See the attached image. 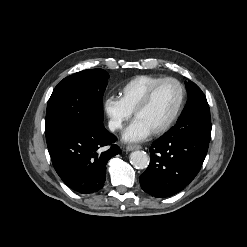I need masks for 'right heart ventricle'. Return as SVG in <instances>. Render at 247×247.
Listing matches in <instances>:
<instances>
[{
	"instance_id": "e07e8e85",
	"label": "right heart ventricle",
	"mask_w": 247,
	"mask_h": 247,
	"mask_svg": "<svg viewBox=\"0 0 247 247\" xmlns=\"http://www.w3.org/2000/svg\"><path fill=\"white\" fill-rule=\"evenodd\" d=\"M164 79L156 75H138L127 81L120 89V98L124 105L133 112L148 90Z\"/></svg>"
}]
</instances>
